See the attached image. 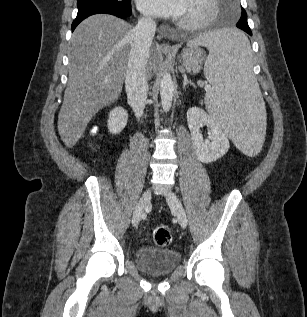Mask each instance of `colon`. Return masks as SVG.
<instances>
[{
  "instance_id": "colon-1",
  "label": "colon",
  "mask_w": 307,
  "mask_h": 317,
  "mask_svg": "<svg viewBox=\"0 0 307 317\" xmlns=\"http://www.w3.org/2000/svg\"><path fill=\"white\" fill-rule=\"evenodd\" d=\"M93 135L97 134V128L93 129ZM153 241L159 247H167L173 241V234L167 225H158L153 231Z\"/></svg>"
}]
</instances>
